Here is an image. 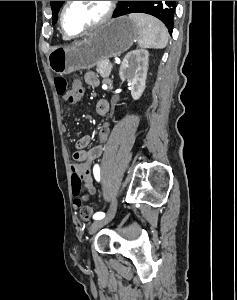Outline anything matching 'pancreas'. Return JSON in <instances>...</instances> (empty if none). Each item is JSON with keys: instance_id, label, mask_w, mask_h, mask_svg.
Returning <instances> with one entry per match:
<instances>
[{"instance_id": "obj_1", "label": "pancreas", "mask_w": 237, "mask_h": 300, "mask_svg": "<svg viewBox=\"0 0 237 300\" xmlns=\"http://www.w3.org/2000/svg\"><path fill=\"white\" fill-rule=\"evenodd\" d=\"M109 61H102V63H97V73H99V75H101V77H109L110 73H111V69L112 68H107L106 66L108 65ZM112 65V64H111ZM113 67V65H112Z\"/></svg>"}]
</instances>
